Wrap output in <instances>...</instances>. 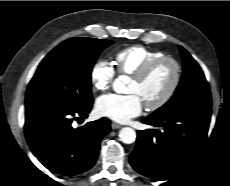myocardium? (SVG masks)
<instances>
[{"instance_id": "f54148a6", "label": "myocardium", "mask_w": 230, "mask_h": 186, "mask_svg": "<svg viewBox=\"0 0 230 186\" xmlns=\"http://www.w3.org/2000/svg\"><path fill=\"white\" fill-rule=\"evenodd\" d=\"M163 63H169L173 67V79L166 90V92L155 102L145 104V107L150 111H155L163 106H165L171 98L174 96L176 90L179 87L182 78V67L180 63L171 56H162L156 58L147 64H145L142 68H140L135 74L132 75V79L136 82L145 81L156 68H158Z\"/></svg>"}]
</instances>
